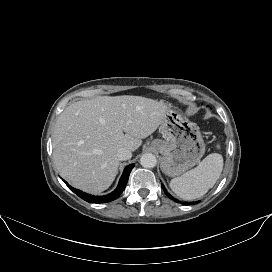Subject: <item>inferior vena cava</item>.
<instances>
[{
    "label": "inferior vena cava",
    "instance_id": "1",
    "mask_svg": "<svg viewBox=\"0 0 272 272\" xmlns=\"http://www.w3.org/2000/svg\"><path fill=\"white\" fill-rule=\"evenodd\" d=\"M132 157V153L129 149L121 147L117 150V158L120 161L129 160Z\"/></svg>",
    "mask_w": 272,
    "mask_h": 272
}]
</instances>
